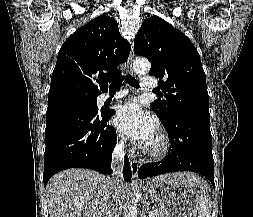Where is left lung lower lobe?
<instances>
[{"label":"left lung lower lobe","instance_id":"1","mask_svg":"<svg viewBox=\"0 0 253 217\" xmlns=\"http://www.w3.org/2000/svg\"><path fill=\"white\" fill-rule=\"evenodd\" d=\"M162 123L171 143L168 156L160 162L142 165L138 177L192 171L204 175L215 187L210 116L180 112Z\"/></svg>","mask_w":253,"mask_h":217}]
</instances>
